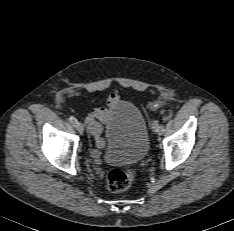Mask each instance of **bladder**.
<instances>
[{
	"mask_svg": "<svg viewBox=\"0 0 234 231\" xmlns=\"http://www.w3.org/2000/svg\"><path fill=\"white\" fill-rule=\"evenodd\" d=\"M105 136L110 143L107 156L109 164L138 163L148 153L147 122L140 109L131 101L120 100L111 110Z\"/></svg>",
	"mask_w": 234,
	"mask_h": 231,
	"instance_id": "31cf9c89",
	"label": "bladder"
}]
</instances>
